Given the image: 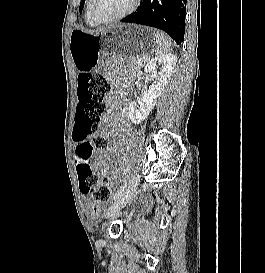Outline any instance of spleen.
Wrapping results in <instances>:
<instances>
[{"label": "spleen", "mask_w": 265, "mask_h": 273, "mask_svg": "<svg viewBox=\"0 0 265 273\" xmlns=\"http://www.w3.org/2000/svg\"><path fill=\"white\" fill-rule=\"evenodd\" d=\"M153 35L156 42L155 52L157 54H166L172 50V42L163 32L154 30Z\"/></svg>", "instance_id": "spleen-1"}]
</instances>
